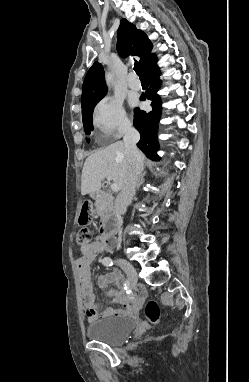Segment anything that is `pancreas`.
I'll list each match as a JSON object with an SVG mask.
<instances>
[{"mask_svg":"<svg viewBox=\"0 0 249 382\" xmlns=\"http://www.w3.org/2000/svg\"><path fill=\"white\" fill-rule=\"evenodd\" d=\"M95 206H96V211H97V214L101 217L104 216L105 214V204H104V200L102 199H97L96 200V203H95Z\"/></svg>","mask_w":249,"mask_h":382,"instance_id":"obj_1","label":"pancreas"}]
</instances>
